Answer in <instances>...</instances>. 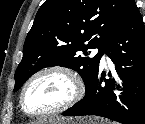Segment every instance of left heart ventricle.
I'll use <instances>...</instances> for the list:
<instances>
[{
	"label": "left heart ventricle",
	"mask_w": 145,
	"mask_h": 124,
	"mask_svg": "<svg viewBox=\"0 0 145 124\" xmlns=\"http://www.w3.org/2000/svg\"><path fill=\"white\" fill-rule=\"evenodd\" d=\"M72 91V84L66 76L58 73L46 74L27 89L24 105L30 112L46 111L66 101Z\"/></svg>",
	"instance_id": "b2bd125f"
}]
</instances>
